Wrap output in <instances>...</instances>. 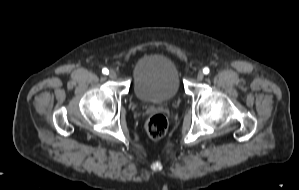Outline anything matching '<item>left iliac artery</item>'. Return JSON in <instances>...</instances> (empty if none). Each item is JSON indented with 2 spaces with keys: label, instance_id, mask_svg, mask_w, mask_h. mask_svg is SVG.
<instances>
[{
  "label": "left iliac artery",
  "instance_id": "44dca946",
  "mask_svg": "<svg viewBox=\"0 0 299 190\" xmlns=\"http://www.w3.org/2000/svg\"><path fill=\"white\" fill-rule=\"evenodd\" d=\"M209 71H210V70H209V68H208V67H205V68L203 69V73H204V74H208V73H209Z\"/></svg>",
  "mask_w": 299,
  "mask_h": 190
}]
</instances>
